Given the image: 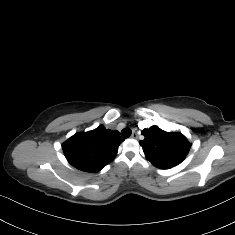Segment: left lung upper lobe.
I'll list each match as a JSON object with an SVG mask.
<instances>
[{"label":"left lung upper lobe","mask_w":235,"mask_h":235,"mask_svg":"<svg viewBox=\"0 0 235 235\" xmlns=\"http://www.w3.org/2000/svg\"><path fill=\"white\" fill-rule=\"evenodd\" d=\"M144 139L139 143L146 158L161 169L172 168L181 163L188 154L191 144L178 132H165L158 126L142 131Z\"/></svg>","instance_id":"obj_1"}]
</instances>
